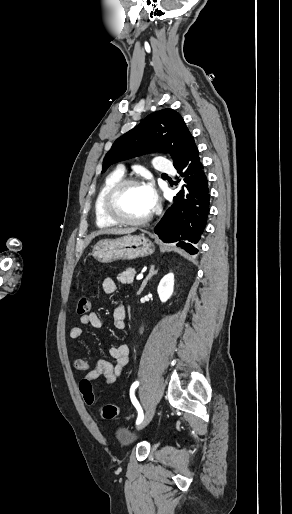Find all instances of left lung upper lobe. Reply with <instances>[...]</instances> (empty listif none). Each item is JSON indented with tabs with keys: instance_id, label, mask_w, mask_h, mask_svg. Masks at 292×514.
Masks as SVG:
<instances>
[{
	"instance_id": "1",
	"label": "left lung upper lobe",
	"mask_w": 292,
	"mask_h": 514,
	"mask_svg": "<svg viewBox=\"0 0 292 514\" xmlns=\"http://www.w3.org/2000/svg\"><path fill=\"white\" fill-rule=\"evenodd\" d=\"M193 141L178 112L173 109L153 112L114 142L104 157L102 173L114 163L156 151L169 152L176 167Z\"/></svg>"
}]
</instances>
